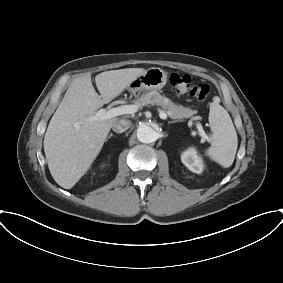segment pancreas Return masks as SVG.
Listing matches in <instances>:
<instances>
[{"instance_id":"pancreas-1","label":"pancreas","mask_w":283,"mask_h":283,"mask_svg":"<svg viewBox=\"0 0 283 283\" xmlns=\"http://www.w3.org/2000/svg\"><path fill=\"white\" fill-rule=\"evenodd\" d=\"M135 103L139 106L158 105L161 106L172 119L176 121H182L183 118H191V120H197V110H192L189 107H183L181 105L174 104L168 98L161 96L157 92H148L143 94L140 98L135 100Z\"/></svg>"}]
</instances>
